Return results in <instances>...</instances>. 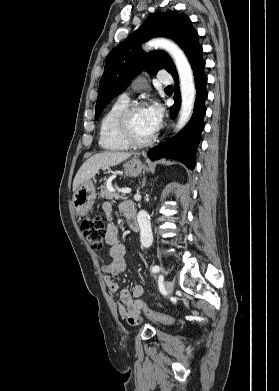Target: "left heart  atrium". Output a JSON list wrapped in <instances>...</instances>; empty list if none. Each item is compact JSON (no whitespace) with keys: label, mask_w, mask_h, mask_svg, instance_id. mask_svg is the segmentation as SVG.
I'll return each mask as SVG.
<instances>
[{"label":"left heart atrium","mask_w":279,"mask_h":391,"mask_svg":"<svg viewBox=\"0 0 279 391\" xmlns=\"http://www.w3.org/2000/svg\"><path fill=\"white\" fill-rule=\"evenodd\" d=\"M147 113L150 119L152 120L153 124L157 128L162 118V112L160 107L156 104L150 105L147 108Z\"/></svg>","instance_id":"obj_1"}]
</instances>
